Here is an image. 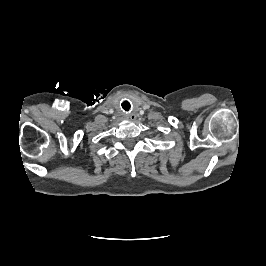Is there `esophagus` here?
<instances>
[{"label": "esophagus", "mask_w": 266, "mask_h": 266, "mask_svg": "<svg viewBox=\"0 0 266 266\" xmlns=\"http://www.w3.org/2000/svg\"><path fill=\"white\" fill-rule=\"evenodd\" d=\"M130 119L131 120H135L136 119V116L132 114V115H130Z\"/></svg>", "instance_id": "obj_1"}]
</instances>
